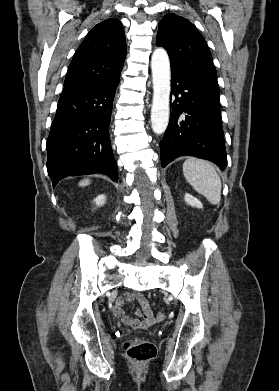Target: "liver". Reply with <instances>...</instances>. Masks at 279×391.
<instances>
[{"mask_svg": "<svg viewBox=\"0 0 279 391\" xmlns=\"http://www.w3.org/2000/svg\"><path fill=\"white\" fill-rule=\"evenodd\" d=\"M90 181L88 179H84L79 183V186H87L89 185Z\"/></svg>", "mask_w": 279, "mask_h": 391, "instance_id": "obj_1", "label": "liver"}]
</instances>
